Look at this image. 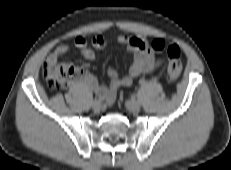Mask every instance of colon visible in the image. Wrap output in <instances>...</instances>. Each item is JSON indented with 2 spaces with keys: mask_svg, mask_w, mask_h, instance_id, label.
<instances>
[{
  "mask_svg": "<svg viewBox=\"0 0 231 170\" xmlns=\"http://www.w3.org/2000/svg\"><path fill=\"white\" fill-rule=\"evenodd\" d=\"M150 47L154 51H162L165 48V42L161 39H155ZM168 66L167 79L169 82H175L181 75V51L177 45L167 47ZM42 75L47 85L54 90L66 88L72 81L81 80L85 77L86 71L80 67L67 63H45L42 68Z\"/></svg>",
  "mask_w": 231,
  "mask_h": 170,
  "instance_id": "obj_1",
  "label": "colon"
}]
</instances>
